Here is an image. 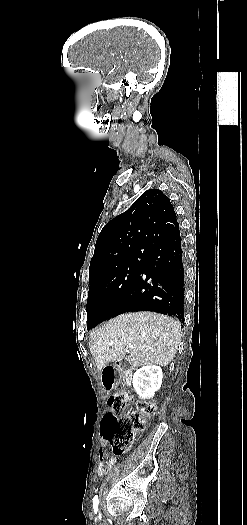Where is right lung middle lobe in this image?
<instances>
[{
  "label": "right lung middle lobe",
  "instance_id": "dd1d6c3e",
  "mask_svg": "<svg viewBox=\"0 0 247 525\" xmlns=\"http://www.w3.org/2000/svg\"><path fill=\"white\" fill-rule=\"evenodd\" d=\"M144 259L135 260L128 266L89 274L87 300V329L114 317L119 304L139 277Z\"/></svg>",
  "mask_w": 247,
  "mask_h": 525
}]
</instances>
